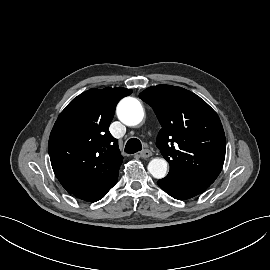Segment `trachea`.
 <instances>
[{
	"mask_svg": "<svg viewBox=\"0 0 270 270\" xmlns=\"http://www.w3.org/2000/svg\"><path fill=\"white\" fill-rule=\"evenodd\" d=\"M142 150L141 142L137 138H131L127 141L125 146V152L128 154H133Z\"/></svg>",
	"mask_w": 270,
	"mask_h": 270,
	"instance_id": "3493384b",
	"label": "trachea"
}]
</instances>
